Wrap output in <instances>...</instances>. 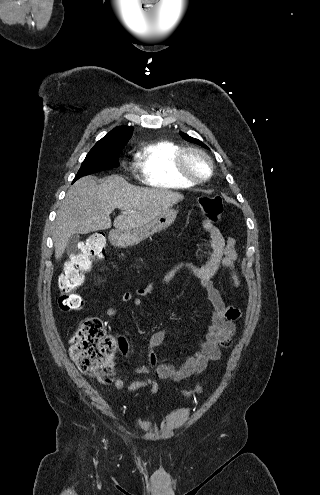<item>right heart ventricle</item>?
Returning a JSON list of instances; mask_svg holds the SVG:
<instances>
[{"label": "right heart ventricle", "mask_w": 320, "mask_h": 495, "mask_svg": "<svg viewBox=\"0 0 320 495\" xmlns=\"http://www.w3.org/2000/svg\"><path fill=\"white\" fill-rule=\"evenodd\" d=\"M180 146L168 140H156L142 146L136 153V168L142 180L158 188L181 189L194 184L182 178L175 169Z\"/></svg>", "instance_id": "1"}]
</instances>
